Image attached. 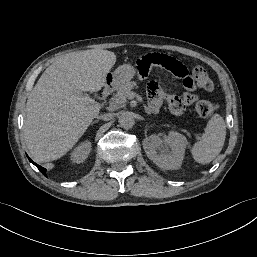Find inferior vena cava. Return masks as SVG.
<instances>
[{
    "mask_svg": "<svg viewBox=\"0 0 257 257\" xmlns=\"http://www.w3.org/2000/svg\"><path fill=\"white\" fill-rule=\"evenodd\" d=\"M95 117L98 119L109 121L113 118V115L111 113H105V114H101V115H96Z\"/></svg>",
    "mask_w": 257,
    "mask_h": 257,
    "instance_id": "602c4592",
    "label": "inferior vena cava"
}]
</instances>
